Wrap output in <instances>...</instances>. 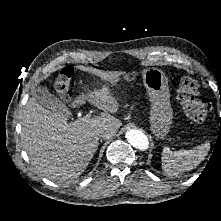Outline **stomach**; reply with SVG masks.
Segmentation results:
<instances>
[{
    "mask_svg": "<svg viewBox=\"0 0 221 221\" xmlns=\"http://www.w3.org/2000/svg\"><path fill=\"white\" fill-rule=\"evenodd\" d=\"M137 75L138 73L135 71L125 73L118 81L114 83L106 82L102 88L111 89L116 86L121 79H125L129 82L134 81ZM142 78L151 102L149 117L150 129L157 138L164 139L169 133L172 122V109L167 77L160 69L148 68L142 71Z\"/></svg>",
    "mask_w": 221,
    "mask_h": 221,
    "instance_id": "1",
    "label": "stomach"
}]
</instances>
